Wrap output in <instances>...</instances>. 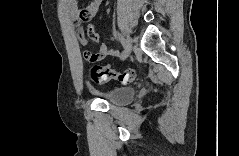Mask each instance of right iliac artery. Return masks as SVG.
Instances as JSON below:
<instances>
[{"label":"right iliac artery","mask_w":239,"mask_h":156,"mask_svg":"<svg viewBox=\"0 0 239 156\" xmlns=\"http://www.w3.org/2000/svg\"><path fill=\"white\" fill-rule=\"evenodd\" d=\"M116 35H117L118 40H119L120 43L122 44V46L125 48V46H126V40L123 38V36H122L121 34L116 33Z\"/></svg>","instance_id":"1"}]
</instances>
